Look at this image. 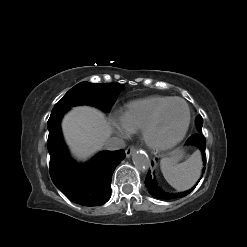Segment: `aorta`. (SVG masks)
I'll list each match as a JSON object with an SVG mask.
<instances>
[{
  "mask_svg": "<svg viewBox=\"0 0 247 247\" xmlns=\"http://www.w3.org/2000/svg\"><path fill=\"white\" fill-rule=\"evenodd\" d=\"M135 167L141 171H146L149 169L151 162L146 153L135 152L132 157Z\"/></svg>",
  "mask_w": 247,
  "mask_h": 247,
  "instance_id": "aorta-1",
  "label": "aorta"
}]
</instances>
